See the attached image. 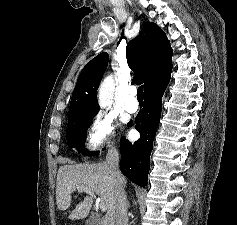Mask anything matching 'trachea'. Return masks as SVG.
Returning <instances> with one entry per match:
<instances>
[{"instance_id": "trachea-1", "label": "trachea", "mask_w": 237, "mask_h": 225, "mask_svg": "<svg viewBox=\"0 0 237 225\" xmlns=\"http://www.w3.org/2000/svg\"><path fill=\"white\" fill-rule=\"evenodd\" d=\"M137 99L138 100H142L143 99V86H140L137 89Z\"/></svg>"}]
</instances>
